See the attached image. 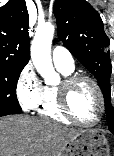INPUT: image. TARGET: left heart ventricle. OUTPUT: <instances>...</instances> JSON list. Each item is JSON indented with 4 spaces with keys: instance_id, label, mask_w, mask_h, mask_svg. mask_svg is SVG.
Returning <instances> with one entry per match:
<instances>
[{
    "instance_id": "b2bd125f",
    "label": "left heart ventricle",
    "mask_w": 114,
    "mask_h": 156,
    "mask_svg": "<svg viewBox=\"0 0 114 156\" xmlns=\"http://www.w3.org/2000/svg\"><path fill=\"white\" fill-rule=\"evenodd\" d=\"M70 107L77 118L93 121L98 114V97L94 87L87 81L75 85L70 94Z\"/></svg>"
}]
</instances>
